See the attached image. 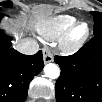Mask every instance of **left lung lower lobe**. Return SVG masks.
Here are the masks:
<instances>
[{"label":"left lung lower lobe","mask_w":102,"mask_h":102,"mask_svg":"<svg viewBox=\"0 0 102 102\" xmlns=\"http://www.w3.org/2000/svg\"><path fill=\"white\" fill-rule=\"evenodd\" d=\"M61 74L55 85L57 102H101L102 34L71 56H55Z\"/></svg>","instance_id":"0a47b994"}]
</instances>
